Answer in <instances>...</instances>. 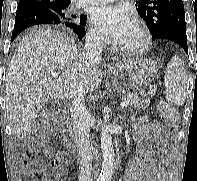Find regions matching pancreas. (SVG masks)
I'll return each mask as SVG.
<instances>
[{"instance_id": "cf45deb5", "label": "pancreas", "mask_w": 197, "mask_h": 181, "mask_svg": "<svg viewBox=\"0 0 197 181\" xmlns=\"http://www.w3.org/2000/svg\"><path fill=\"white\" fill-rule=\"evenodd\" d=\"M122 101H127L130 108L138 107V108L146 109L150 104L149 99H141L136 94L130 92L123 93Z\"/></svg>"}]
</instances>
